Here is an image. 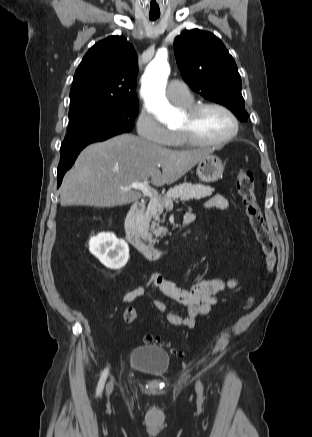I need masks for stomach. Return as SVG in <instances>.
Returning a JSON list of instances; mask_svg holds the SVG:
<instances>
[{
    "label": "stomach",
    "mask_w": 312,
    "mask_h": 437,
    "mask_svg": "<svg viewBox=\"0 0 312 437\" xmlns=\"http://www.w3.org/2000/svg\"><path fill=\"white\" fill-rule=\"evenodd\" d=\"M224 165L220 158L209 154L202 158L197 165L196 174L203 182H215L222 178Z\"/></svg>",
    "instance_id": "0dacf381"
}]
</instances>
